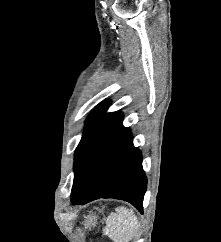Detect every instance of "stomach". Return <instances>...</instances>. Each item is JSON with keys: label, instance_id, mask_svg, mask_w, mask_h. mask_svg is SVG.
<instances>
[{"label": "stomach", "instance_id": "1", "mask_svg": "<svg viewBox=\"0 0 221 242\" xmlns=\"http://www.w3.org/2000/svg\"><path fill=\"white\" fill-rule=\"evenodd\" d=\"M84 218H85V220H84L83 224L86 229H91L96 226L97 216L95 214H93V213L89 214V215L85 216Z\"/></svg>", "mask_w": 221, "mask_h": 242}]
</instances>
